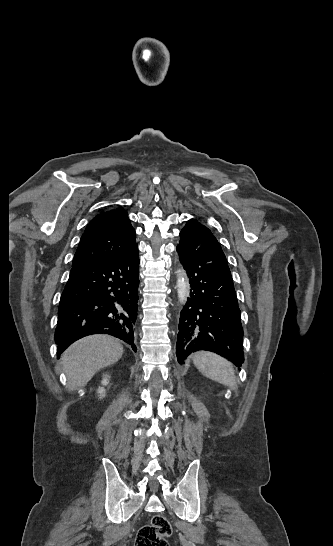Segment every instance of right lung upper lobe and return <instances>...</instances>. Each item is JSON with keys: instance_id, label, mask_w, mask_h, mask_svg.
Returning <instances> with one entry per match:
<instances>
[{"instance_id": "1", "label": "right lung upper lobe", "mask_w": 333, "mask_h": 546, "mask_svg": "<svg viewBox=\"0 0 333 546\" xmlns=\"http://www.w3.org/2000/svg\"><path fill=\"white\" fill-rule=\"evenodd\" d=\"M135 236L128 214L122 207L98 214L81 237L72 267L113 260L136 245Z\"/></svg>"}]
</instances>
